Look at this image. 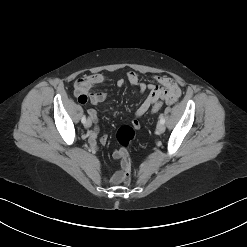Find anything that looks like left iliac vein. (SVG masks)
<instances>
[{"label": "left iliac vein", "instance_id": "obj_1", "mask_svg": "<svg viewBox=\"0 0 247 247\" xmlns=\"http://www.w3.org/2000/svg\"><path fill=\"white\" fill-rule=\"evenodd\" d=\"M164 131H165V125L163 123L159 122L157 125V132L163 133Z\"/></svg>", "mask_w": 247, "mask_h": 247}]
</instances>
